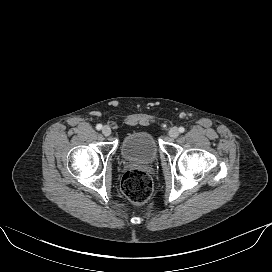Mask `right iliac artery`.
<instances>
[{
  "label": "right iliac artery",
  "instance_id": "1",
  "mask_svg": "<svg viewBox=\"0 0 272 272\" xmlns=\"http://www.w3.org/2000/svg\"><path fill=\"white\" fill-rule=\"evenodd\" d=\"M96 129H97V130L102 129V125H101V124H98V125L96 126Z\"/></svg>",
  "mask_w": 272,
  "mask_h": 272
}]
</instances>
